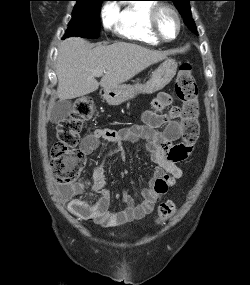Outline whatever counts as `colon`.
I'll list each match as a JSON object with an SVG mask.
<instances>
[{"instance_id": "obj_1", "label": "colon", "mask_w": 250, "mask_h": 285, "mask_svg": "<svg viewBox=\"0 0 250 285\" xmlns=\"http://www.w3.org/2000/svg\"><path fill=\"white\" fill-rule=\"evenodd\" d=\"M175 92L182 103L179 110L182 138L185 145L191 146L198 138L199 102L198 88L192 75L191 65L180 66L176 79ZM95 115V107L91 99H78L70 116L59 122L57 141L51 146V165L55 178L60 183H73L79 176L85 164L84 154L76 148L80 140V131L85 121ZM176 212L173 201L167 200L158 207L157 221L163 223Z\"/></svg>"}]
</instances>
